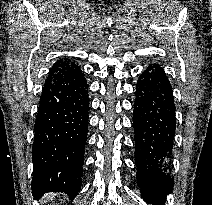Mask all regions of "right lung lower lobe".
<instances>
[{
  "mask_svg": "<svg viewBox=\"0 0 212 205\" xmlns=\"http://www.w3.org/2000/svg\"><path fill=\"white\" fill-rule=\"evenodd\" d=\"M88 85L78 63L63 57L51 67L40 97L32 147V194L80 191L89 118Z\"/></svg>",
  "mask_w": 212,
  "mask_h": 205,
  "instance_id": "98d812e1",
  "label": "right lung lower lobe"
}]
</instances>
